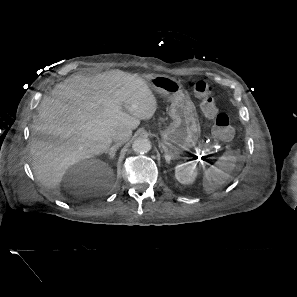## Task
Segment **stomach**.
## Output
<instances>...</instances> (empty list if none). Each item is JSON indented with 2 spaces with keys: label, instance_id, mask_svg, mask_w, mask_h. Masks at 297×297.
Listing matches in <instances>:
<instances>
[{
  "label": "stomach",
  "instance_id": "stomach-1",
  "mask_svg": "<svg viewBox=\"0 0 297 297\" xmlns=\"http://www.w3.org/2000/svg\"><path fill=\"white\" fill-rule=\"evenodd\" d=\"M148 83L171 102L169 115L173 121L161 131L162 146L175 154L194 148L200 138L201 128L195 105L183 85L163 75L149 77Z\"/></svg>",
  "mask_w": 297,
  "mask_h": 297
}]
</instances>
